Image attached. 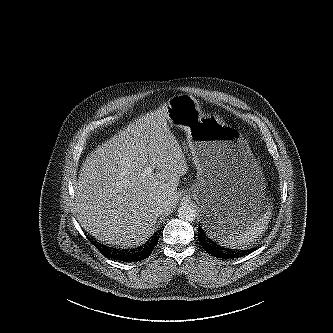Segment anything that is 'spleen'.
<instances>
[{
    "mask_svg": "<svg viewBox=\"0 0 333 333\" xmlns=\"http://www.w3.org/2000/svg\"><path fill=\"white\" fill-rule=\"evenodd\" d=\"M271 210L261 214L258 218L244 227L229 232L220 239L221 244L227 247H247L253 243L268 226Z\"/></svg>",
    "mask_w": 333,
    "mask_h": 333,
    "instance_id": "1",
    "label": "spleen"
}]
</instances>
